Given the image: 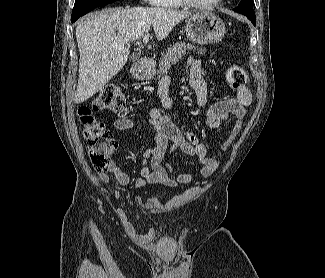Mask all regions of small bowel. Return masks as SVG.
I'll use <instances>...</instances> for the list:
<instances>
[{"label":"small bowel","instance_id":"obj_1","mask_svg":"<svg viewBox=\"0 0 325 278\" xmlns=\"http://www.w3.org/2000/svg\"><path fill=\"white\" fill-rule=\"evenodd\" d=\"M201 65L202 61L198 58L189 57L187 59L190 85L195 93L198 107L205 113L208 125L218 127L231 116L236 118L232 130L221 144V149L226 151L242 128L241 121L246 114V108L251 104L252 94L249 88L244 85L236 89L234 97L208 104L207 85L201 74ZM168 88L169 79H162L159 84L158 95L163 108H153L147 116L148 123L156 133L155 145L143 154L140 169L141 177L135 180L137 188H144L149 184L176 186L179 183L193 181L194 172L177 173L165 163L169 142L171 143L170 152L178 148L197 159L200 164L199 172L204 178L211 176L218 166V161L208 155L206 146L199 141L194 133L180 126L171 113L175 106L169 96ZM113 125L117 131L134 130L139 125V119L136 117L117 119ZM112 176L121 186H127L130 183L129 174L114 161H111L107 171L100 174V179L108 183Z\"/></svg>","mask_w":325,"mask_h":278}]
</instances>
